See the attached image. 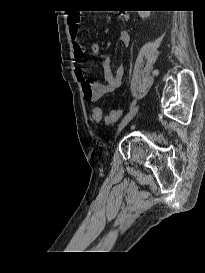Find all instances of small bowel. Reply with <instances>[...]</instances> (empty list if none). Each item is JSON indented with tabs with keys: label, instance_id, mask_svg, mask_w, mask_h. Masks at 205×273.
I'll return each mask as SVG.
<instances>
[{
	"label": "small bowel",
	"instance_id": "c3829d8e",
	"mask_svg": "<svg viewBox=\"0 0 205 273\" xmlns=\"http://www.w3.org/2000/svg\"><path fill=\"white\" fill-rule=\"evenodd\" d=\"M123 19L128 17L127 13H123ZM69 32L72 39L73 59L79 62L83 58L84 47L78 40V33L80 29V17L78 15H70L68 17ZM121 44L127 46L130 43V34L127 31H122L119 35ZM90 50L94 56L101 54L100 45L96 42L91 43ZM102 71L105 84L100 82H88L85 71L82 67L77 66L75 69V76L82 85L84 98L87 102H96L104 95L114 91L121 84L123 76V67L118 66L114 71L111 66L109 58L105 57L102 60Z\"/></svg>",
	"mask_w": 205,
	"mask_h": 273
}]
</instances>
